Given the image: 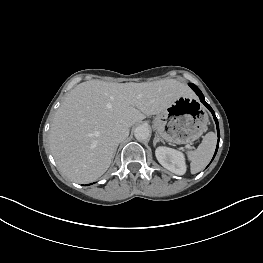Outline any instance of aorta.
Listing matches in <instances>:
<instances>
[{
	"instance_id": "762f6f07",
	"label": "aorta",
	"mask_w": 263,
	"mask_h": 263,
	"mask_svg": "<svg viewBox=\"0 0 263 263\" xmlns=\"http://www.w3.org/2000/svg\"><path fill=\"white\" fill-rule=\"evenodd\" d=\"M134 136L138 141L147 140L150 137V129L148 126L140 125L135 128Z\"/></svg>"
}]
</instances>
